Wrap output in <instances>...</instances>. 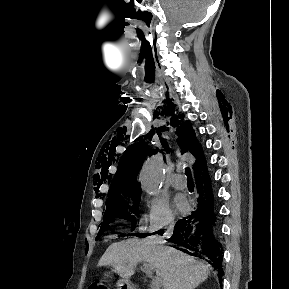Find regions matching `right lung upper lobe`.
<instances>
[{"label":"right lung upper lobe","instance_id":"obj_1","mask_svg":"<svg viewBox=\"0 0 289 289\" xmlns=\"http://www.w3.org/2000/svg\"><path fill=\"white\" fill-rule=\"evenodd\" d=\"M180 122L181 120L178 121V124H180ZM177 134V141L182 149V152L184 153L189 151L196 158L193 166L195 178L206 173V160L202 151V147L199 145L196 139V135L191 124L188 121H182ZM148 153L151 155L153 152H151L148 144L144 143V141L139 142V144L135 143L134 145L128 147L120 159L118 170L113 180L114 183H112L111 189L108 192L106 205L131 198L134 195L141 194L136 177L142 162Z\"/></svg>","mask_w":289,"mask_h":289}]
</instances>
